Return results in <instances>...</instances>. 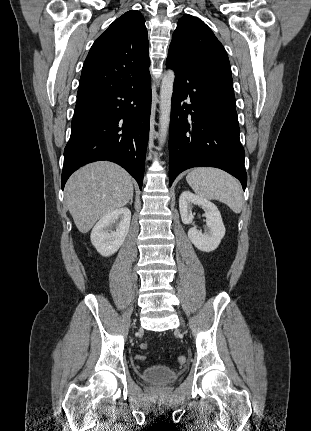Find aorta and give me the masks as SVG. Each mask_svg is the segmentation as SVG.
<instances>
[{
  "label": "aorta",
  "mask_w": 311,
  "mask_h": 431,
  "mask_svg": "<svg viewBox=\"0 0 311 431\" xmlns=\"http://www.w3.org/2000/svg\"><path fill=\"white\" fill-rule=\"evenodd\" d=\"M175 80V74L173 70H168L165 76L162 78V84L160 88V116H159V132H160V146H163L170 124V112H171V98L173 94V84Z\"/></svg>",
  "instance_id": "obj_1"
}]
</instances>
